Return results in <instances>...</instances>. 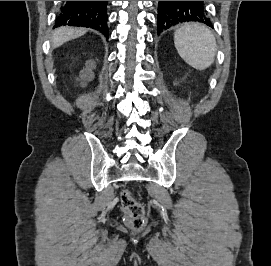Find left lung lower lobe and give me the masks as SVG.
Listing matches in <instances>:
<instances>
[{
    "label": "left lung lower lobe",
    "instance_id": "obj_1",
    "mask_svg": "<svg viewBox=\"0 0 271 266\" xmlns=\"http://www.w3.org/2000/svg\"><path fill=\"white\" fill-rule=\"evenodd\" d=\"M157 19L158 33L182 22H199L212 27L204 1H159Z\"/></svg>",
    "mask_w": 271,
    "mask_h": 266
}]
</instances>
